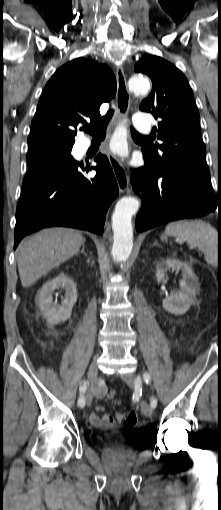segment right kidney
<instances>
[{
	"label": "right kidney",
	"mask_w": 221,
	"mask_h": 510,
	"mask_svg": "<svg viewBox=\"0 0 221 510\" xmlns=\"http://www.w3.org/2000/svg\"><path fill=\"white\" fill-rule=\"evenodd\" d=\"M65 290L61 305L53 302L52 294L56 289ZM77 301L75 283L66 275L60 274L47 281L38 294V306L49 324H59L70 318L72 308Z\"/></svg>",
	"instance_id": "ca27d5eb"
}]
</instances>
